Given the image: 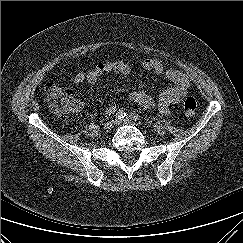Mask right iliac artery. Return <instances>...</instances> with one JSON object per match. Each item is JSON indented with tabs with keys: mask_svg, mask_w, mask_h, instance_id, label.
Instances as JSON below:
<instances>
[{
	"mask_svg": "<svg viewBox=\"0 0 243 243\" xmlns=\"http://www.w3.org/2000/svg\"><path fill=\"white\" fill-rule=\"evenodd\" d=\"M125 116H126L125 111H123V110H119V111L116 113L115 118H116V120H120V119H123Z\"/></svg>",
	"mask_w": 243,
	"mask_h": 243,
	"instance_id": "right-iliac-artery-1",
	"label": "right iliac artery"
}]
</instances>
